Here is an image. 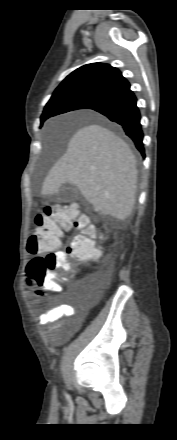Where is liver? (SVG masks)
<instances>
[{
	"label": "liver",
	"mask_w": 177,
	"mask_h": 440,
	"mask_svg": "<svg viewBox=\"0 0 177 440\" xmlns=\"http://www.w3.org/2000/svg\"><path fill=\"white\" fill-rule=\"evenodd\" d=\"M65 183L75 185L96 212L123 221L135 204L136 158L109 129L97 124L82 127L51 168L41 194L53 195Z\"/></svg>",
	"instance_id": "6515ba94"
}]
</instances>
